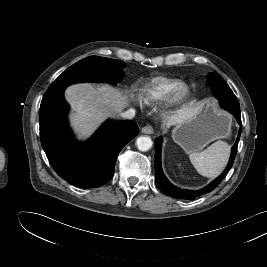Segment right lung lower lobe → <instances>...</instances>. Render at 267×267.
I'll return each instance as SVG.
<instances>
[{
	"instance_id": "1",
	"label": "right lung lower lobe",
	"mask_w": 267,
	"mask_h": 267,
	"mask_svg": "<svg viewBox=\"0 0 267 267\" xmlns=\"http://www.w3.org/2000/svg\"><path fill=\"white\" fill-rule=\"evenodd\" d=\"M64 90L43 98L39 110L41 144L56 173L78 187H99L114 174L117 156L139 132L131 120H108L88 142L75 141L68 129Z\"/></svg>"
}]
</instances>
